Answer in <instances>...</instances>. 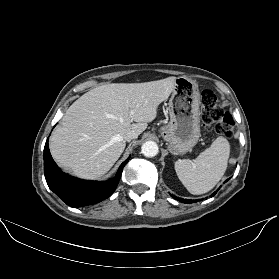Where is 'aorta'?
Wrapping results in <instances>:
<instances>
[{"mask_svg":"<svg viewBox=\"0 0 279 279\" xmlns=\"http://www.w3.org/2000/svg\"><path fill=\"white\" fill-rule=\"evenodd\" d=\"M141 152L146 157H154L158 154L159 148L154 141H147L142 145Z\"/></svg>","mask_w":279,"mask_h":279,"instance_id":"1","label":"aorta"}]
</instances>
